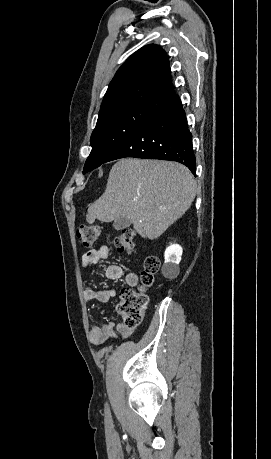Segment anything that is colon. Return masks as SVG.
Returning <instances> with one entry per match:
<instances>
[{
  "label": "colon",
  "instance_id": "1",
  "mask_svg": "<svg viewBox=\"0 0 271 459\" xmlns=\"http://www.w3.org/2000/svg\"><path fill=\"white\" fill-rule=\"evenodd\" d=\"M150 3H160L162 0H148ZM76 235L84 247L92 246L101 236V228L96 225H79ZM115 247L121 253H132L135 248V231L131 228L123 229L114 240ZM160 267V260L155 255H149L144 261V268L140 274V286L125 287L120 293L118 311L123 316L124 324L128 327L138 326L149 306L147 288L153 284L154 275Z\"/></svg>",
  "mask_w": 271,
  "mask_h": 459
}]
</instances>
